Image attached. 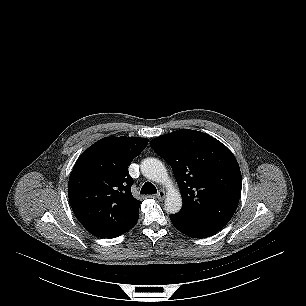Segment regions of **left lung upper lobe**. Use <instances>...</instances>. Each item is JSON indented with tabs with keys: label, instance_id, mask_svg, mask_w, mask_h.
Listing matches in <instances>:
<instances>
[{
	"label": "left lung upper lobe",
	"instance_id": "obj_1",
	"mask_svg": "<svg viewBox=\"0 0 306 306\" xmlns=\"http://www.w3.org/2000/svg\"><path fill=\"white\" fill-rule=\"evenodd\" d=\"M150 145L173 169L183 199L178 213L228 223L241 192V172L232 152L210 135L190 129L159 136Z\"/></svg>",
	"mask_w": 306,
	"mask_h": 306
}]
</instances>
